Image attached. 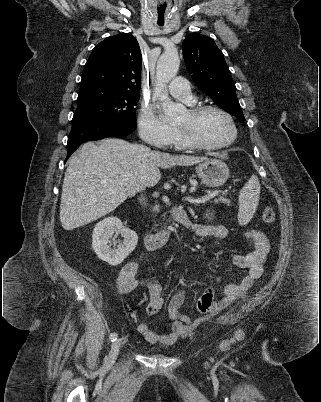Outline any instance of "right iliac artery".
Listing matches in <instances>:
<instances>
[{
  "label": "right iliac artery",
  "instance_id": "1",
  "mask_svg": "<svg viewBox=\"0 0 321 402\" xmlns=\"http://www.w3.org/2000/svg\"><path fill=\"white\" fill-rule=\"evenodd\" d=\"M109 339H110L111 342L115 341V340L117 339V333H115V332L112 333V334L110 335Z\"/></svg>",
  "mask_w": 321,
  "mask_h": 402
}]
</instances>
